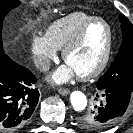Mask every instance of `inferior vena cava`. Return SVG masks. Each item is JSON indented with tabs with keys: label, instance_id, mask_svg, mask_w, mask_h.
I'll return each instance as SVG.
<instances>
[{
	"label": "inferior vena cava",
	"instance_id": "inferior-vena-cava-1",
	"mask_svg": "<svg viewBox=\"0 0 133 133\" xmlns=\"http://www.w3.org/2000/svg\"><path fill=\"white\" fill-rule=\"evenodd\" d=\"M35 66L40 71H48L50 68V60L44 56H38L34 59Z\"/></svg>",
	"mask_w": 133,
	"mask_h": 133
}]
</instances>
